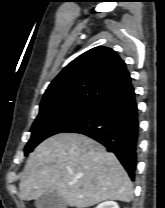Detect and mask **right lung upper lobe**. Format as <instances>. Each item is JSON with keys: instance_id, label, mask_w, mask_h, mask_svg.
Masks as SVG:
<instances>
[{"instance_id": "1", "label": "right lung upper lobe", "mask_w": 165, "mask_h": 208, "mask_svg": "<svg viewBox=\"0 0 165 208\" xmlns=\"http://www.w3.org/2000/svg\"><path fill=\"white\" fill-rule=\"evenodd\" d=\"M130 83V74L118 54L107 47H96L59 73L44 93L40 108L65 102L96 104Z\"/></svg>"}]
</instances>
